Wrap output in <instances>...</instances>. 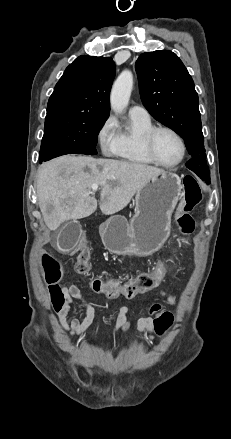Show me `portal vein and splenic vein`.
<instances>
[{"label":"portal vein and splenic vein","instance_id":"18ae733b","mask_svg":"<svg viewBox=\"0 0 231 439\" xmlns=\"http://www.w3.org/2000/svg\"><path fill=\"white\" fill-rule=\"evenodd\" d=\"M91 188H92V193H95L98 190V185L93 184Z\"/></svg>","mask_w":231,"mask_h":439}]
</instances>
